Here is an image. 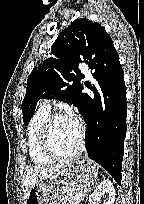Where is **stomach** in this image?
<instances>
[{
  "mask_svg": "<svg viewBox=\"0 0 144 204\" xmlns=\"http://www.w3.org/2000/svg\"><path fill=\"white\" fill-rule=\"evenodd\" d=\"M96 163L79 159L67 163L51 178L39 180L30 188L25 204H61L60 196L72 192L82 194L97 177Z\"/></svg>",
  "mask_w": 144,
  "mask_h": 204,
  "instance_id": "1",
  "label": "stomach"
}]
</instances>
